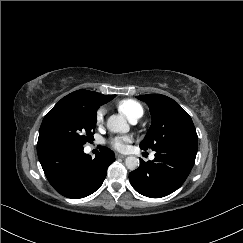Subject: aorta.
<instances>
[{
  "label": "aorta",
  "mask_w": 243,
  "mask_h": 243,
  "mask_svg": "<svg viewBox=\"0 0 243 243\" xmlns=\"http://www.w3.org/2000/svg\"><path fill=\"white\" fill-rule=\"evenodd\" d=\"M107 128L113 133H127L129 131V125L121 115H111L107 120ZM125 165L133 171L139 167V159L135 156L126 157Z\"/></svg>",
  "instance_id": "1"
}]
</instances>
